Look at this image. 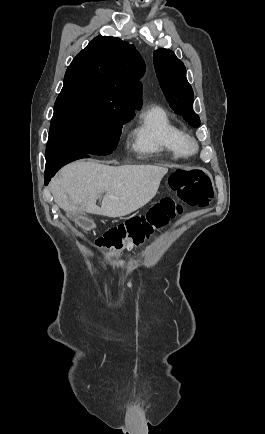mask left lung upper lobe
Listing matches in <instances>:
<instances>
[{
  "instance_id": "obj_1",
  "label": "left lung upper lobe",
  "mask_w": 265,
  "mask_h": 434,
  "mask_svg": "<svg viewBox=\"0 0 265 434\" xmlns=\"http://www.w3.org/2000/svg\"><path fill=\"white\" fill-rule=\"evenodd\" d=\"M153 59L157 78L171 108L191 126L199 127V116L193 111L194 93L186 79L183 62L163 48L154 51Z\"/></svg>"
}]
</instances>
